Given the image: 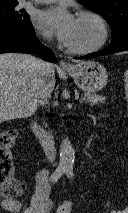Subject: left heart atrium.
Wrapping results in <instances>:
<instances>
[{"mask_svg": "<svg viewBox=\"0 0 128 213\" xmlns=\"http://www.w3.org/2000/svg\"><path fill=\"white\" fill-rule=\"evenodd\" d=\"M76 23L77 18L64 5L42 10L35 18V25L39 30L55 35L65 45L70 43Z\"/></svg>", "mask_w": 128, "mask_h": 213, "instance_id": "obj_1", "label": "left heart atrium"}]
</instances>
